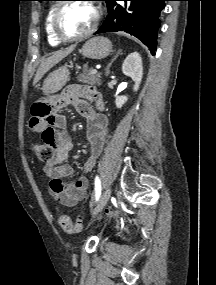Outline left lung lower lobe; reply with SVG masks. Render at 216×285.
I'll return each instance as SVG.
<instances>
[{
    "label": "left lung lower lobe",
    "instance_id": "1",
    "mask_svg": "<svg viewBox=\"0 0 216 285\" xmlns=\"http://www.w3.org/2000/svg\"><path fill=\"white\" fill-rule=\"evenodd\" d=\"M116 1L124 3L118 4ZM164 1L167 0H109V14L95 34L118 31L130 33L147 45L154 55Z\"/></svg>",
    "mask_w": 216,
    "mask_h": 285
}]
</instances>
